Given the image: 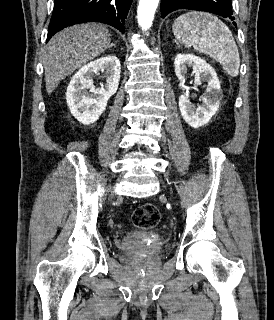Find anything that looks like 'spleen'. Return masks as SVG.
I'll return each instance as SVG.
<instances>
[{
  "label": "spleen",
  "mask_w": 274,
  "mask_h": 320,
  "mask_svg": "<svg viewBox=\"0 0 274 320\" xmlns=\"http://www.w3.org/2000/svg\"><path fill=\"white\" fill-rule=\"evenodd\" d=\"M172 30L176 40L186 48L193 46L200 54L220 62L228 76H238V48L229 28L219 18L206 12H187L176 18Z\"/></svg>",
  "instance_id": "spleen-1"
}]
</instances>
